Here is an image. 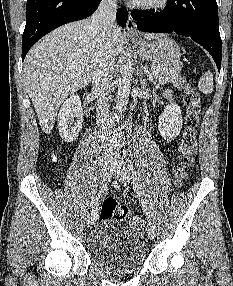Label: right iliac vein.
Returning <instances> with one entry per match:
<instances>
[{"label":"right iliac vein","mask_w":233,"mask_h":286,"mask_svg":"<svg viewBox=\"0 0 233 286\" xmlns=\"http://www.w3.org/2000/svg\"><path fill=\"white\" fill-rule=\"evenodd\" d=\"M111 172H112V167H111L109 161H104L102 163L101 169H100V178H101L102 183L106 182L109 179ZM97 211H98V208L96 205L91 211V214L89 217V225H93L96 222Z\"/></svg>","instance_id":"63e3f726"}]
</instances>
